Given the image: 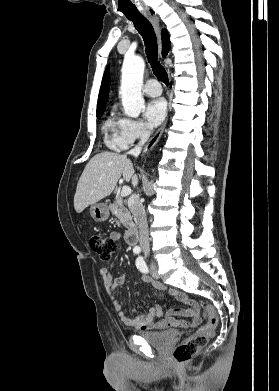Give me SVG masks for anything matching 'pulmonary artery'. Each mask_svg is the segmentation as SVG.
<instances>
[{
	"label": "pulmonary artery",
	"mask_w": 279,
	"mask_h": 391,
	"mask_svg": "<svg viewBox=\"0 0 279 391\" xmlns=\"http://www.w3.org/2000/svg\"><path fill=\"white\" fill-rule=\"evenodd\" d=\"M143 92L146 95L155 97V96H159L162 93V89L160 84L156 80L150 79L144 85Z\"/></svg>",
	"instance_id": "pulmonary-artery-1"
}]
</instances>
